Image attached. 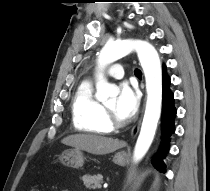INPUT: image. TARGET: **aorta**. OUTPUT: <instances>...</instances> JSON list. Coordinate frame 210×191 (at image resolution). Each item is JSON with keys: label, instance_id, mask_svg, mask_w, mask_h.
<instances>
[{"label": "aorta", "instance_id": "obj_1", "mask_svg": "<svg viewBox=\"0 0 210 191\" xmlns=\"http://www.w3.org/2000/svg\"><path fill=\"white\" fill-rule=\"evenodd\" d=\"M136 51L146 81L147 101L143 122L138 136L133 159L140 161L147 153L154 139L162 106V68L156 49L143 40L125 39L107 42L98 57V76L96 83V98L100 102H106L110 97L119 94L117 86L108 83L102 71L109 64Z\"/></svg>", "mask_w": 210, "mask_h": 191}]
</instances>
